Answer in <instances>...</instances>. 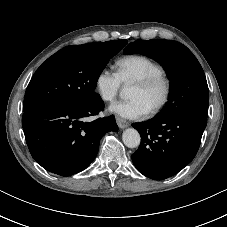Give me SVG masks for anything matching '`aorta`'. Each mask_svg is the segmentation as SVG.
Listing matches in <instances>:
<instances>
[{"label":"aorta","instance_id":"762f6f07","mask_svg":"<svg viewBox=\"0 0 227 227\" xmlns=\"http://www.w3.org/2000/svg\"><path fill=\"white\" fill-rule=\"evenodd\" d=\"M120 96L126 98L128 96V88L123 87L120 91ZM122 140L128 148H136L140 145L141 137L139 132L134 128H128L123 131Z\"/></svg>","mask_w":227,"mask_h":227}]
</instances>
